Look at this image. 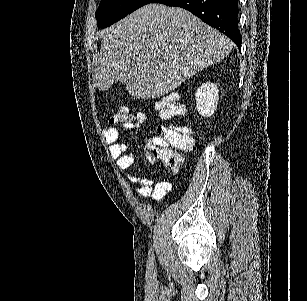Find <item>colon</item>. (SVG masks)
I'll list each match as a JSON object with an SVG mask.
<instances>
[{
	"mask_svg": "<svg viewBox=\"0 0 307 301\" xmlns=\"http://www.w3.org/2000/svg\"><path fill=\"white\" fill-rule=\"evenodd\" d=\"M155 109L162 119L169 120L182 117L185 107L177 94L169 93L161 97L155 103ZM145 121L143 112L127 114L125 109H120L109 120L111 125L125 123L129 126H140ZM156 141L150 143L149 148L153 155L159 159L170 172H177L182 162V156L178 151H186L192 148L194 140L189 127L182 125H161L158 127Z\"/></svg>",
	"mask_w": 307,
	"mask_h": 301,
	"instance_id": "colon-1",
	"label": "colon"
}]
</instances>
